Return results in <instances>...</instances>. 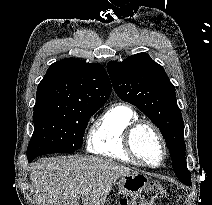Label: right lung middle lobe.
Returning <instances> with one entry per match:
<instances>
[{
	"mask_svg": "<svg viewBox=\"0 0 212 205\" xmlns=\"http://www.w3.org/2000/svg\"><path fill=\"white\" fill-rule=\"evenodd\" d=\"M102 105H78L57 111L34 110L35 128L27 149L28 160L44 154L78 150L90 117Z\"/></svg>",
	"mask_w": 212,
	"mask_h": 205,
	"instance_id": "dd1d6c3e",
	"label": "right lung middle lobe"
}]
</instances>
